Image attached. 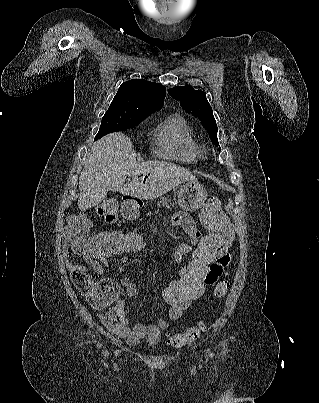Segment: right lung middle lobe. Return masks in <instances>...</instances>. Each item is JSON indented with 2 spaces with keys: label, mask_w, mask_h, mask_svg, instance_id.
Masks as SVG:
<instances>
[{
  "label": "right lung middle lobe",
  "mask_w": 319,
  "mask_h": 403,
  "mask_svg": "<svg viewBox=\"0 0 319 403\" xmlns=\"http://www.w3.org/2000/svg\"><path fill=\"white\" fill-rule=\"evenodd\" d=\"M146 117L147 116L133 115L122 109L108 108L102 118L101 126L98 134L95 136V140L111 132L133 128Z\"/></svg>",
  "instance_id": "obj_1"
}]
</instances>
